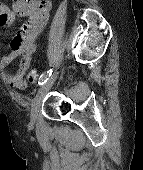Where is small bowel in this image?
Returning a JSON list of instances; mask_svg holds the SVG:
<instances>
[{
    "instance_id": "1",
    "label": "small bowel",
    "mask_w": 143,
    "mask_h": 170,
    "mask_svg": "<svg viewBox=\"0 0 143 170\" xmlns=\"http://www.w3.org/2000/svg\"><path fill=\"white\" fill-rule=\"evenodd\" d=\"M53 3L51 0H11V6L0 3V23L11 26L16 17L27 20L10 41V52L0 57V68H6L19 59L15 73H5L8 84L18 89L26 87L25 74L35 53V40L46 26Z\"/></svg>"
}]
</instances>
